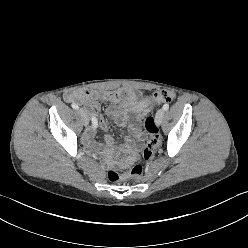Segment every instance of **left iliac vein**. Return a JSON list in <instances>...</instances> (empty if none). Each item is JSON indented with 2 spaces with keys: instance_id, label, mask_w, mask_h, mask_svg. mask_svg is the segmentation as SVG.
<instances>
[{
  "instance_id": "left-iliac-vein-1",
  "label": "left iliac vein",
  "mask_w": 248,
  "mask_h": 248,
  "mask_svg": "<svg viewBox=\"0 0 248 248\" xmlns=\"http://www.w3.org/2000/svg\"><path fill=\"white\" fill-rule=\"evenodd\" d=\"M163 117H164V110L163 109H159L155 115V120H156V123L158 125L161 124L162 120H163Z\"/></svg>"
}]
</instances>
